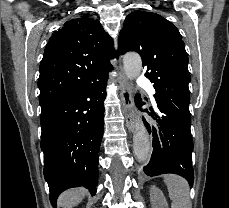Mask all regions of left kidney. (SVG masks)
Segmentation results:
<instances>
[{
    "instance_id": "left-kidney-1",
    "label": "left kidney",
    "mask_w": 229,
    "mask_h": 208,
    "mask_svg": "<svg viewBox=\"0 0 229 208\" xmlns=\"http://www.w3.org/2000/svg\"><path fill=\"white\" fill-rule=\"evenodd\" d=\"M150 200L152 202V208H168L163 192L159 188H156V186H151L150 188Z\"/></svg>"
}]
</instances>
